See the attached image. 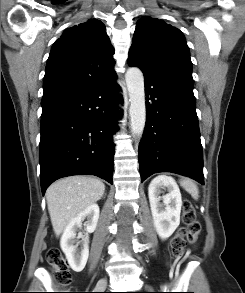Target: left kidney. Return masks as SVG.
I'll return each mask as SVG.
<instances>
[{"label": "left kidney", "instance_id": "1", "mask_svg": "<svg viewBox=\"0 0 245 293\" xmlns=\"http://www.w3.org/2000/svg\"><path fill=\"white\" fill-rule=\"evenodd\" d=\"M164 187L168 193L161 197ZM148 195L156 232L161 239H167L180 224L182 198L179 187L171 177L157 176L149 184Z\"/></svg>", "mask_w": 245, "mask_h": 293}]
</instances>
